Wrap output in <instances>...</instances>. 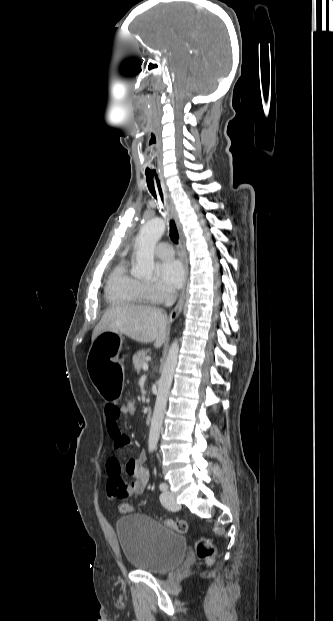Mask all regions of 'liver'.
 <instances>
[{"instance_id":"1","label":"liver","mask_w":333,"mask_h":621,"mask_svg":"<svg viewBox=\"0 0 333 621\" xmlns=\"http://www.w3.org/2000/svg\"><path fill=\"white\" fill-rule=\"evenodd\" d=\"M168 320L162 310L151 306H116L105 312L93 330L92 342L103 332H118L141 342L164 344Z\"/></svg>"}]
</instances>
